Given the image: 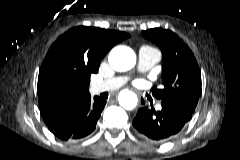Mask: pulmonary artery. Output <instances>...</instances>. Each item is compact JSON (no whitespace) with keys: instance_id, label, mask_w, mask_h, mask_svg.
<instances>
[{"instance_id":"obj_1","label":"pulmonary artery","mask_w":240,"mask_h":160,"mask_svg":"<svg viewBox=\"0 0 240 160\" xmlns=\"http://www.w3.org/2000/svg\"><path fill=\"white\" fill-rule=\"evenodd\" d=\"M161 55L158 50L149 46H142L138 52L137 69L140 72L150 70L156 63L159 62ZM129 80L128 76H116L103 81L96 82L92 85L94 93L103 91H112L120 88ZM157 109H161V105H157Z\"/></svg>"}]
</instances>
